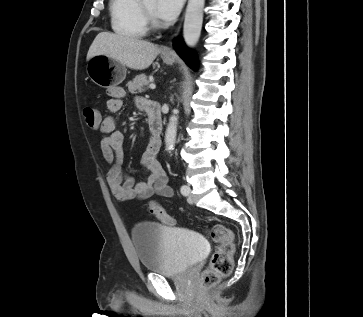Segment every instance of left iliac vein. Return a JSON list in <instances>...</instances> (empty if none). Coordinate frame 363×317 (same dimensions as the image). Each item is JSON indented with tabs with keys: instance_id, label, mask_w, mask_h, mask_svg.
<instances>
[{
	"instance_id": "left-iliac-vein-1",
	"label": "left iliac vein",
	"mask_w": 363,
	"mask_h": 317,
	"mask_svg": "<svg viewBox=\"0 0 363 317\" xmlns=\"http://www.w3.org/2000/svg\"><path fill=\"white\" fill-rule=\"evenodd\" d=\"M186 186L188 187V202H189L190 204H193L194 200H193V198H192V196H191V188H190V186H188V185H186Z\"/></svg>"
}]
</instances>
